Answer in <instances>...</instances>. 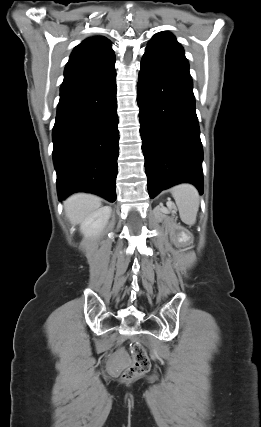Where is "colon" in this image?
Instances as JSON below:
<instances>
[{
  "instance_id": "colon-1",
  "label": "colon",
  "mask_w": 261,
  "mask_h": 427,
  "mask_svg": "<svg viewBox=\"0 0 261 427\" xmlns=\"http://www.w3.org/2000/svg\"><path fill=\"white\" fill-rule=\"evenodd\" d=\"M132 355V365L123 373V378L131 380L144 375L150 369L151 363L144 346L139 342H134L130 347Z\"/></svg>"
}]
</instances>
